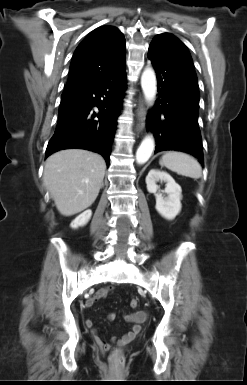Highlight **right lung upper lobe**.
Returning <instances> with one entry per match:
<instances>
[{
  "label": "right lung upper lobe",
  "instance_id": "right-lung-upper-lobe-1",
  "mask_svg": "<svg viewBox=\"0 0 247 385\" xmlns=\"http://www.w3.org/2000/svg\"><path fill=\"white\" fill-rule=\"evenodd\" d=\"M125 57V38L116 27L95 29L75 50L64 92H78L117 74Z\"/></svg>",
  "mask_w": 247,
  "mask_h": 385
}]
</instances>
